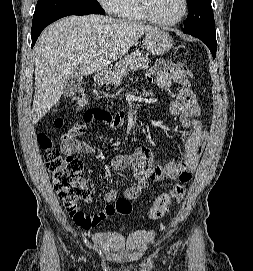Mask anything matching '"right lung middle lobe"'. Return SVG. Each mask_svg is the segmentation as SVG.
Returning <instances> with one entry per match:
<instances>
[{
  "instance_id": "dd1d6c3e",
  "label": "right lung middle lobe",
  "mask_w": 253,
  "mask_h": 271,
  "mask_svg": "<svg viewBox=\"0 0 253 271\" xmlns=\"http://www.w3.org/2000/svg\"><path fill=\"white\" fill-rule=\"evenodd\" d=\"M105 14L97 0H38L31 31L47 21L67 15Z\"/></svg>"
}]
</instances>
